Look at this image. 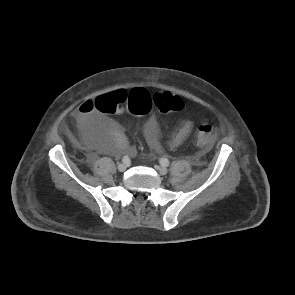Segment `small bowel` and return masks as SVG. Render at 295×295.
I'll use <instances>...</instances> for the list:
<instances>
[{"instance_id":"small-bowel-1","label":"small bowel","mask_w":295,"mask_h":295,"mask_svg":"<svg viewBox=\"0 0 295 295\" xmlns=\"http://www.w3.org/2000/svg\"><path fill=\"white\" fill-rule=\"evenodd\" d=\"M74 118L84 139L95 149L106 153L123 152L130 156L136 154L135 148L129 144L122 130L113 120L104 117L95 108L94 101L88 100L82 103L75 111ZM192 128V120L185 119L172 135L169 142L170 148L177 149L180 147L190 135ZM144 133L151 154L161 153L162 147L154 117L148 118L144 123Z\"/></svg>"}]
</instances>
